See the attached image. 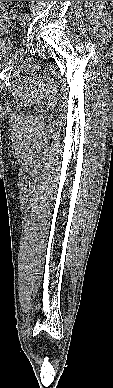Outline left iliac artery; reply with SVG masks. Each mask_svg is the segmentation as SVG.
<instances>
[{"label":"left iliac artery","instance_id":"1","mask_svg":"<svg viewBox=\"0 0 113 388\" xmlns=\"http://www.w3.org/2000/svg\"><path fill=\"white\" fill-rule=\"evenodd\" d=\"M26 15H27L28 19H30V14H29V13H27Z\"/></svg>","mask_w":113,"mask_h":388}]
</instances>
